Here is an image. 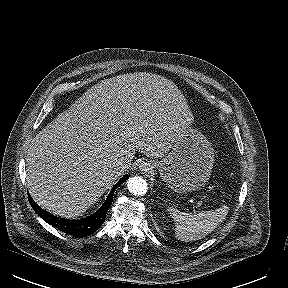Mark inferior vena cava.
Returning <instances> with one entry per match:
<instances>
[{
	"label": "inferior vena cava",
	"instance_id": "obj_1",
	"mask_svg": "<svg viewBox=\"0 0 288 288\" xmlns=\"http://www.w3.org/2000/svg\"><path fill=\"white\" fill-rule=\"evenodd\" d=\"M126 168H127V164L125 162L116 161L112 165H110L108 174L111 176H114L116 174L123 172Z\"/></svg>",
	"mask_w": 288,
	"mask_h": 288
}]
</instances>
